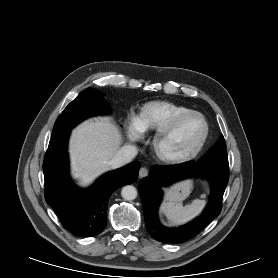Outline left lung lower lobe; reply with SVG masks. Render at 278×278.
Here are the masks:
<instances>
[{
	"label": "left lung lower lobe",
	"instance_id": "left-lung-lower-lobe-1",
	"mask_svg": "<svg viewBox=\"0 0 278 278\" xmlns=\"http://www.w3.org/2000/svg\"><path fill=\"white\" fill-rule=\"evenodd\" d=\"M192 177H202L211 186L209 203L203 214L192 222L178 228L162 226L157 215L162 200L161 187ZM228 180L229 171L205 167L194 161L175 166H152L149 177H144L139 185L147 231L154 239L163 243H184L195 237L220 214L222 198Z\"/></svg>",
	"mask_w": 278,
	"mask_h": 278
}]
</instances>
